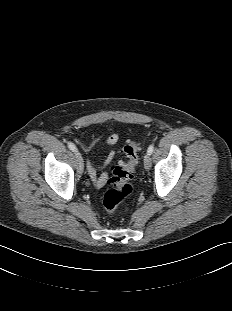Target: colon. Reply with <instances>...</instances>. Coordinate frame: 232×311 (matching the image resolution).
I'll use <instances>...</instances> for the list:
<instances>
[{
  "mask_svg": "<svg viewBox=\"0 0 232 311\" xmlns=\"http://www.w3.org/2000/svg\"><path fill=\"white\" fill-rule=\"evenodd\" d=\"M139 145L134 140H129L123 147V153L127 157V162H120L113 168L110 184L112 188L105 192L102 204L109 214L114 213L117 207L128 198L132 191V179L134 171L138 165Z\"/></svg>",
  "mask_w": 232,
  "mask_h": 311,
  "instance_id": "5ec220e1",
  "label": "colon"
}]
</instances>
